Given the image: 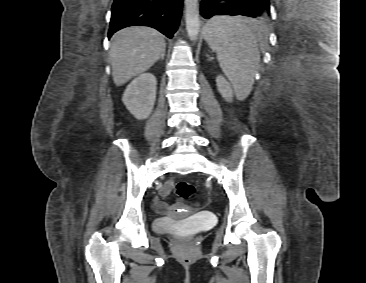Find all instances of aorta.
<instances>
[{"mask_svg":"<svg viewBox=\"0 0 366 283\" xmlns=\"http://www.w3.org/2000/svg\"><path fill=\"white\" fill-rule=\"evenodd\" d=\"M185 22L190 40L196 41L200 31L198 0H185Z\"/></svg>","mask_w":366,"mask_h":283,"instance_id":"obj_1","label":"aorta"}]
</instances>
